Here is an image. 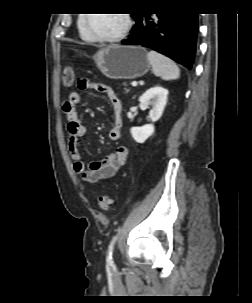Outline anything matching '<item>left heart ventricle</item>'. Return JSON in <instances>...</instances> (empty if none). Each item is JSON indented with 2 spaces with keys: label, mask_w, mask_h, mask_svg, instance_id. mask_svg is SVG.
I'll use <instances>...</instances> for the list:
<instances>
[{
  "label": "left heart ventricle",
  "mask_w": 252,
  "mask_h": 303,
  "mask_svg": "<svg viewBox=\"0 0 252 303\" xmlns=\"http://www.w3.org/2000/svg\"><path fill=\"white\" fill-rule=\"evenodd\" d=\"M88 29L91 33L109 36L120 32L125 26L123 14H91Z\"/></svg>",
  "instance_id": "left-heart-ventricle-1"
}]
</instances>
